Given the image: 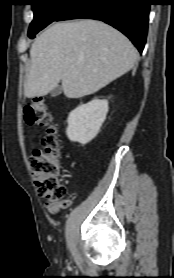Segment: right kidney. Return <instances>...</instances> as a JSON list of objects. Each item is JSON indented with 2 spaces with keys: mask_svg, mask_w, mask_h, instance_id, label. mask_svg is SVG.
Instances as JSON below:
<instances>
[{
  "mask_svg": "<svg viewBox=\"0 0 174 278\" xmlns=\"http://www.w3.org/2000/svg\"><path fill=\"white\" fill-rule=\"evenodd\" d=\"M107 112L108 101L105 99H94L71 111L66 129L69 140L80 144L89 143L99 133Z\"/></svg>",
  "mask_w": 174,
  "mask_h": 278,
  "instance_id": "1",
  "label": "right kidney"
}]
</instances>
